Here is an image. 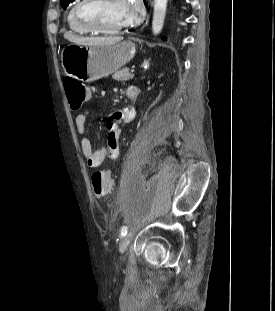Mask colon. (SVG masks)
Returning <instances> with one entry per match:
<instances>
[{
  "label": "colon",
  "mask_w": 275,
  "mask_h": 311,
  "mask_svg": "<svg viewBox=\"0 0 275 311\" xmlns=\"http://www.w3.org/2000/svg\"><path fill=\"white\" fill-rule=\"evenodd\" d=\"M68 103L73 110H77L90 98V89L87 85L72 78L64 82ZM91 183L93 193L97 198L106 197L112 190V180L106 171L96 170L92 173Z\"/></svg>",
  "instance_id": "5ec220e1"
}]
</instances>
